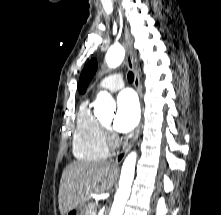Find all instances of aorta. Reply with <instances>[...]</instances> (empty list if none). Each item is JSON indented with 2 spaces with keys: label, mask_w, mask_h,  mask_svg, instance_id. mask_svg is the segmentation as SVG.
Segmentation results:
<instances>
[{
  "label": "aorta",
  "mask_w": 221,
  "mask_h": 215,
  "mask_svg": "<svg viewBox=\"0 0 221 215\" xmlns=\"http://www.w3.org/2000/svg\"><path fill=\"white\" fill-rule=\"evenodd\" d=\"M124 57V48L121 45H114L108 49L105 56V61L109 68H116L123 62ZM94 108L96 113L102 112L106 109L114 110L115 102L108 92L102 91L97 95L96 101L94 103ZM136 159V152H131L124 160L120 174L119 188L114 197V202L112 204L109 215L123 214L125 204L131 192V186L135 173Z\"/></svg>",
  "instance_id": "762f6f07"
}]
</instances>
